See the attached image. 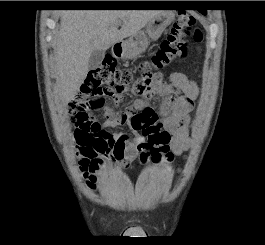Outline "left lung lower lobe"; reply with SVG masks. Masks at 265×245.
Returning <instances> with one entry per match:
<instances>
[{
  "label": "left lung lower lobe",
  "instance_id": "0a47b994",
  "mask_svg": "<svg viewBox=\"0 0 265 245\" xmlns=\"http://www.w3.org/2000/svg\"><path fill=\"white\" fill-rule=\"evenodd\" d=\"M202 14H206V10H199Z\"/></svg>",
  "mask_w": 265,
  "mask_h": 245
}]
</instances>
